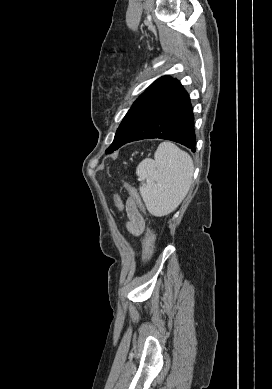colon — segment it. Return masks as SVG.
I'll use <instances>...</instances> for the list:
<instances>
[{
  "label": "colon",
  "mask_w": 272,
  "mask_h": 389,
  "mask_svg": "<svg viewBox=\"0 0 272 389\" xmlns=\"http://www.w3.org/2000/svg\"><path fill=\"white\" fill-rule=\"evenodd\" d=\"M125 187L130 195V198H132L138 206L143 209L142 202L140 200V197L137 193V190L131 186L128 183H125ZM116 207L120 210L123 208V202L121 201L120 197L118 195L114 198ZM154 244H155V235L154 232L150 227L147 228V231L144 236L143 240V249H144V258L146 262H149L154 251Z\"/></svg>",
  "instance_id": "5ec220e1"
}]
</instances>
